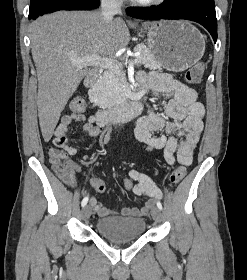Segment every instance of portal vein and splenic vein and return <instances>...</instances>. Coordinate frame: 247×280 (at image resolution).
Listing matches in <instances>:
<instances>
[{
  "label": "portal vein and splenic vein",
  "instance_id": "obj_1",
  "mask_svg": "<svg viewBox=\"0 0 247 280\" xmlns=\"http://www.w3.org/2000/svg\"><path fill=\"white\" fill-rule=\"evenodd\" d=\"M78 66H96L105 69H118L122 67V64L108 58H103L97 55L86 56L74 61ZM131 63L138 64L139 61L137 59L131 60Z\"/></svg>",
  "mask_w": 247,
  "mask_h": 280
}]
</instances>
